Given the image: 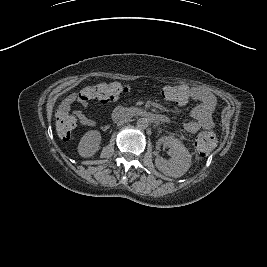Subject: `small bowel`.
<instances>
[{
	"instance_id": "obj_1",
	"label": "small bowel",
	"mask_w": 267,
	"mask_h": 267,
	"mask_svg": "<svg viewBox=\"0 0 267 267\" xmlns=\"http://www.w3.org/2000/svg\"><path fill=\"white\" fill-rule=\"evenodd\" d=\"M180 88L188 93L187 99L181 104H186L189 100L200 102L184 121V129L190 133H196L199 130H211L214 127L213 112L217 105L215 96L201 86H180ZM75 102H79L83 107L88 105L79 99L76 93H71L62 101L61 111H69ZM74 114L83 126L94 127L97 125L94 119L86 117L80 110H75Z\"/></svg>"
}]
</instances>
